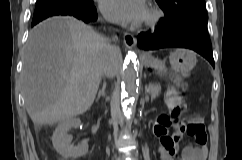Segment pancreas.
<instances>
[{
    "mask_svg": "<svg viewBox=\"0 0 242 160\" xmlns=\"http://www.w3.org/2000/svg\"><path fill=\"white\" fill-rule=\"evenodd\" d=\"M149 90H150L151 98L154 99L159 95L161 91V86L158 84H150Z\"/></svg>",
    "mask_w": 242,
    "mask_h": 160,
    "instance_id": "1",
    "label": "pancreas"
}]
</instances>
